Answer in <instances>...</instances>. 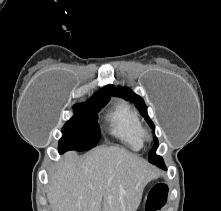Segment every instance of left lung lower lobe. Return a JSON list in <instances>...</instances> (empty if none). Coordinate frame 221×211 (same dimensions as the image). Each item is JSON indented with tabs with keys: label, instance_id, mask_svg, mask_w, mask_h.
Returning a JSON list of instances; mask_svg holds the SVG:
<instances>
[{
	"label": "left lung lower lobe",
	"instance_id": "1",
	"mask_svg": "<svg viewBox=\"0 0 221 211\" xmlns=\"http://www.w3.org/2000/svg\"><path fill=\"white\" fill-rule=\"evenodd\" d=\"M159 167L164 168V163H162Z\"/></svg>",
	"mask_w": 221,
	"mask_h": 211
}]
</instances>
